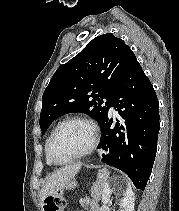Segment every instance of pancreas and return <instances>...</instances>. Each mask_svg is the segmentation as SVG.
<instances>
[{"mask_svg":"<svg viewBox=\"0 0 179 211\" xmlns=\"http://www.w3.org/2000/svg\"><path fill=\"white\" fill-rule=\"evenodd\" d=\"M105 180L98 179L91 187V197L94 201L98 202L101 198Z\"/></svg>","mask_w":179,"mask_h":211,"instance_id":"pancreas-1","label":"pancreas"}]
</instances>
